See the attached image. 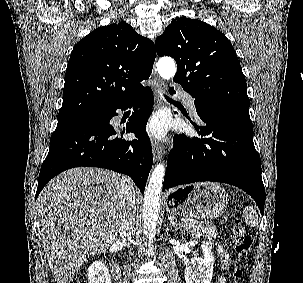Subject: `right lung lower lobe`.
<instances>
[{"instance_id":"obj_1","label":"right lung lower lobe","mask_w":303,"mask_h":283,"mask_svg":"<svg viewBox=\"0 0 303 283\" xmlns=\"http://www.w3.org/2000/svg\"><path fill=\"white\" fill-rule=\"evenodd\" d=\"M133 106L134 113L126 132L136 138L126 141L110 120L116 110ZM153 107V92L144 88L133 99L106 109L97 123H70L56 127L50 139L49 153L42 164L36 198L43 187L59 173L74 167H100L129 175L143 193L152 168V147L145 127Z\"/></svg>"}]
</instances>
